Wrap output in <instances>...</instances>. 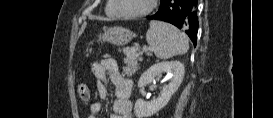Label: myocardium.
<instances>
[{"instance_id":"obj_1","label":"myocardium","mask_w":273,"mask_h":118,"mask_svg":"<svg viewBox=\"0 0 273 118\" xmlns=\"http://www.w3.org/2000/svg\"><path fill=\"white\" fill-rule=\"evenodd\" d=\"M156 2H157V0H150L149 6L141 12L127 13L122 9L120 0H113L114 7L117 10V12L119 13V15H121L122 17L127 18V19H135V18H140V17L148 15L155 8Z\"/></svg>"}]
</instances>
